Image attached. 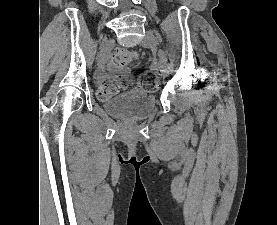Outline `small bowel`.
<instances>
[{"label":"small bowel","instance_id":"obj_1","mask_svg":"<svg viewBox=\"0 0 277 225\" xmlns=\"http://www.w3.org/2000/svg\"><path fill=\"white\" fill-rule=\"evenodd\" d=\"M98 78H99V80H103L104 79V66L103 65L99 66Z\"/></svg>","mask_w":277,"mask_h":225}]
</instances>
